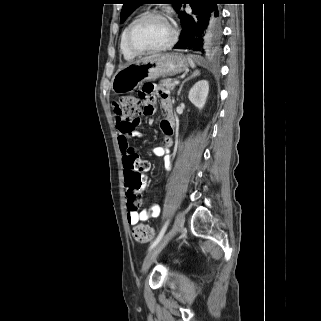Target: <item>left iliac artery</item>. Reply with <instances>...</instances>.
Instances as JSON below:
<instances>
[{"mask_svg": "<svg viewBox=\"0 0 321 321\" xmlns=\"http://www.w3.org/2000/svg\"><path fill=\"white\" fill-rule=\"evenodd\" d=\"M167 226H168V221L164 224V226L162 227L159 235L154 240V242L150 245L148 251H150L153 247H155L160 242V240L163 238V236H164V234L166 232Z\"/></svg>", "mask_w": 321, "mask_h": 321, "instance_id": "44dca946", "label": "left iliac artery"}]
</instances>
